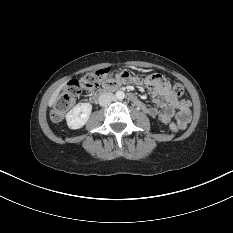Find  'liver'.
<instances>
[{
    "mask_svg": "<svg viewBox=\"0 0 233 233\" xmlns=\"http://www.w3.org/2000/svg\"><path fill=\"white\" fill-rule=\"evenodd\" d=\"M64 86H65V84H62V85L52 94L51 98L49 99V103H48V105H49L50 107H52V106L56 103V101L58 100L59 93H60V91L63 89Z\"/></svg>",
    "mask_w": 233,
    "mask_h": 233,
    "instance_id": "liver-1",
    "label": "liver"
}]
</instances>
